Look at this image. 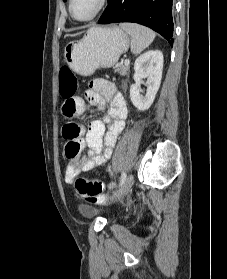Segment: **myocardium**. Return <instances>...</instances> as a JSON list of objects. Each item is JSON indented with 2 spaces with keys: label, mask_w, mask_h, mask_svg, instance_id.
<instances>
[{
  "label": "myocardium",
  "mask_w": 227,
  "mask_h": 279,
  "mask_svg": "<svg viewBox=\"0 0 227 279\" xmlns=\"http://www.w3.org/2000/svg\"><path fill=\"white\" fill-rule=\"evenodd\" d=\"M107 3H108V0H98V5H97L96 9L94 10V12L91 15H89L88 17L82 18V19L75 17V15L73 14V10H72L73 0H69L68 9H69V13L73 20H75L77 22H87V21H91V20L95 19L98 15H100L106 8Z\"/></svg>",
  "instance_id": "obj_1"
}]
</instances>
